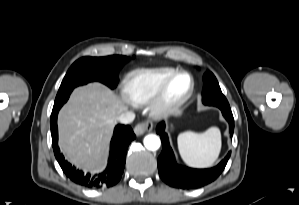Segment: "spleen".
<instances>
[{
  "label": "spleen",
  "instance_id": "3e777b00",
  "mask_svg": "<svg viewBox=\"0 0 299 205\" xmlns=\"http://www.w3.org/2000/svg\"><path fill=\"white\" fill-rule=\"evenodd\" d=\"M178 150L183 161L197 168L210 167L217 160L221 150V133L217 127L205 132L186 131L177 138Z\"/></svg>",
  "mask_w": 299,
  "mask_h": 205
}]
</instances>
